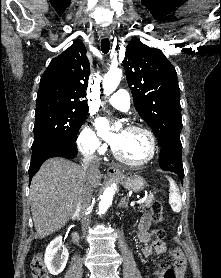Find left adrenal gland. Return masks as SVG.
<instances>
[{"label": "left adrenal gland", "mask_w": 221, "mask_h": 278, "mask_svg": "<svg viewBox=\"0 0 221 278\" xmlns=\"http://www.w3.org/2000/svg\"><path fill=\"white\" fill-rule=\"evenodd\" d=\"M126 197H123L118 205L119 208H123L126 205Z\"/></svg>", "instance_id": "a2214340"}]
</instances>
